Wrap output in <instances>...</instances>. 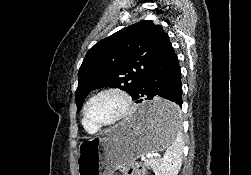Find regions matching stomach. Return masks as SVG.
Listing matches in <instances>:
<instances>
[{"label": "stomach", "instance_id": "stomach-1", "mask_svg": "<svg viewBox=\"0 0 251 175\" xmlns=\"http://www.w3.org/2000/svg\"><path fill=\"white\" fill-rule=\"evenodd\" d=\"M174 100H143L131 117L79 143L78 175H112L118 167L140 155L154 154L171 145L173 134H182Z\"/></svg>", "mask_w": 251, "mask_h": 175}]
</instances>
